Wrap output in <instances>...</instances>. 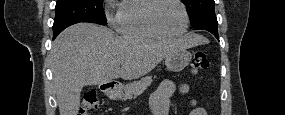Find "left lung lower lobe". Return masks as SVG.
Segmentation results:
<instances>
[{"mask_svg": "<svg viewBox=\"0 0 285 115\" xmlns=\"http://www.w3.org/2000/svg\"><path fill=\"white\" fill-rule=\"evenodd\" d=\"M194 29L195 30H206V31H209L219 40V37H218V22H217V18L216 17L209 18V19H206V20L202 21Z\"/></svg>", "mask_w": 285, "mask_h": 115, "instance_id": "left-lung-lower-lobe-1", "label": "left lung lower lobe"}]
</instances>
